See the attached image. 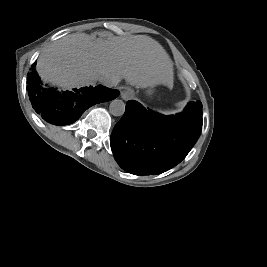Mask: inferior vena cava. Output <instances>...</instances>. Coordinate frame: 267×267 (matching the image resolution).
Wrapping results in <instances>:
<instances>
[{"mask_svg":"<svg viewBox=\"0 0 267 267\" xmlns=\"http://www.w3.org/2000/svg\"><path fill=\"white\" fill-rule=\"evenodd\" d=\"M98 80L106 87H114L118 84V80L110 75H101Z\"/></svg>","mask_w":267,"mask_h":267,"instance_id":"602c4592","label":"inferior vena cava"}]
</instances>
